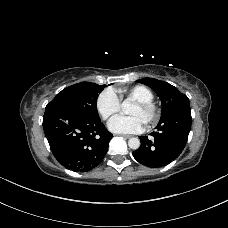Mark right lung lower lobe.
<instances>
[{
    "mask_svg": "<svg viewBox=\"0 0 228 228\" xmlns=\"http://www.w3.org/2000/svg\"><path fill=\"white\" fill-rule=\"evenodd\" d=\"M43 128L57 161L76 172L98 166L113 137L99 117H89L60 105L46 106Z\"/></svg>",
    "mask_w": 228,
    "mask_h": 228,
    "instance_id": "obj_1",
    "label": "right lung lower lobe"
}]
</instances>
